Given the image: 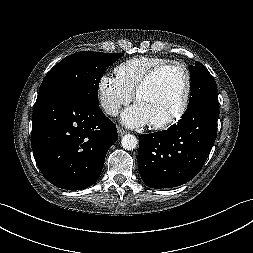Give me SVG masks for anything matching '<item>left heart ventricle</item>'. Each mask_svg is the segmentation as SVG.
<instances>
[{"mask_svg":"<svg viewBox=\"0 0 253 253\" xmlns=\"http://www.w3.org/2000/svg\"><path fill=\"white\" fill-rule=\"evenodd\" d=\"M184 87L183 74L177 69H170L159 74L136 103L143 108L150 122L163 121L179 110Z\"/></svg>","mask_w":253,"mask_h":253,"instance_id":"obj_1","label":"left heart ventricle"}]
</instances>
